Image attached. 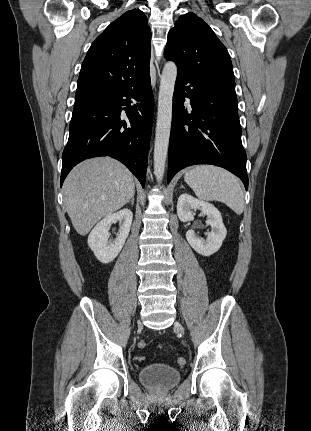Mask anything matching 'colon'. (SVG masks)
I'll return each instance as SVG.
<instances>
[{"mask_svg":"<svg viewBox=\"0 0 311 431\" xmlns=\"http://www.w3.org/2000/svg\"><path fill=\"white\" fill-rule=\"evenodd\" d=\"M138 346H139L140 349H144V348H146V343L142 341V342L139 343ZM135 359L138 360V361H143L145 359V356H143V355H137V356H135ZM177 363L180 366H184L186 364V359L184 357H179L177 359Z\"/></svg>","mask_w":311,"mask_h":431,"instance_id":"5ec220e1","label":"colon"}]
</instances>
